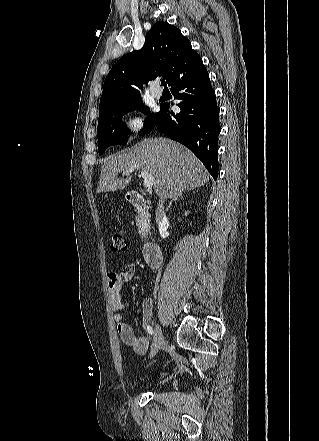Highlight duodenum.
Returning a JSON list of instances; mask_svg holds the SVG:
<instances>
[{
    "label": "duodenum",
    "mask_w": 319,
    "mask_h": 441,
    "mask_svg": "<svg viewBox=\"0 0 319 441\" xmlns=\"http://www.w3.org/2000/svg\"><path fill=\"white\" fill-rule=\"evenodd\" d=\"M128 202L140 210H147L149 208V201L140 193L132 191L127 195ZM145 261L153 268L161 266L163 255L158 246L153 243H146L142 250Z\"/></svg>",
    "instance_id": "410a0bca"
}]
</instances>
